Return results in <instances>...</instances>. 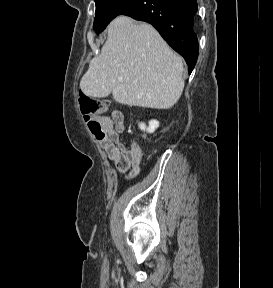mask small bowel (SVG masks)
<instances>
[{"label":"small bowel","instance_id":"small-bowel-1","mask_svg":"<svg viewBox=\"0 0 273 288\" xmlns=\"http://www.w3.org/2000/svg\"><path fill=\"white\" fill-rule=\"evenodd\" d=\"M104 137L97 138L108 157L122 173H129L133 178L139 173L142 151L137 143L127 148L120 142V134L124 131L125 120L120 111H114L111 116L99 117Z\"/></svg>","mask_w":273,"mask_h":288}]
</instances>
